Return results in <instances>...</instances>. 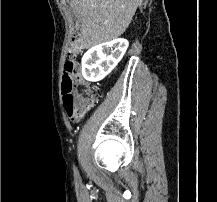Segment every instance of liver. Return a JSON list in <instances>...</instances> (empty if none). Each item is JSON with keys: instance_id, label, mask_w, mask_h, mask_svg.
<instances>
[{"instance_id": "1", "label": "liver", "mask_w": 217, "mask_h": 202, "mask_svg": "<svg viewBox=\"0 0 217 202\" xmlns=\"http://www.w3.org/2000/svg\"><path fill=\"white\" fill-rule=\"evenodd\" d=\"M81 20L79 44L93 48L119 38L142 0H67Z\"/></svg>"}]
</instances>
